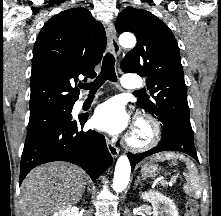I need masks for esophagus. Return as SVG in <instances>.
<instances>
[{
	"label": "esophagus",
	"instance_id": "obj_1",
	"mask_svg": "<svg viewBox=\"0 0 221 216\" xmlns=\"http://www.w3.org/2000/svg\"><path fill=\"white\" fill-rule=\"evenodd\" d=\"M107 39H108V49L115 55L120 54V46L117 41L116 30L113 23H109L106 29ZM106 145L109 153L113 158L119 155L118 147L108 138H106Z\"/></svg>",
	"mask_w": 221,
	"mask_h": 216
}]
</instances>
